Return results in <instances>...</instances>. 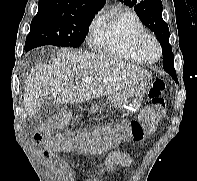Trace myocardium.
I'll use <instances>...</instances> for the list:
<instances>
[{"label": "myocardium", "instance_id": "myocardium-1", "mask_svg": "<svg viewBox=\"0 0 197 181\" xmlns=\"http://www.w3.org/2000/svg\"><path fill=\"white\" fill-rule=\"evenodd\" d=\"M147 41H151L154 43L157 49V57L155 59H150L145 51V43ZM134 48L137 52V54L140 56V58L145 62L149 64L156 63L157 61L160 60L161 55H162V48L161 45L157 39V37L152 34L151 32L148 31H143L141 32L134 40Z\"/></svg>", "mask_w": 197, "mask_h": 181}]
</instances>
